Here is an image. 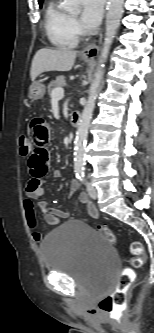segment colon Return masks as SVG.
Instances as JSON below:
<instances>
[{
    "label": "colon",
    "mask_w": 154,
    "mask_h": 333,
    "mask_svg": "<svg viewBox=\"0 0 154 333\" xmlns=\"http://www.w3.org/2000/svg\"><path fill=\"white\" fill-rule=\"evenodd\" d=\"M20 154L27 156L31 153V143L27 134H22L19 138ZM98 232L107 238L110 242L115 241V236L111 229L105 225L98 226ZM133 258L131 264L135 268L143 266L145 263L144 249L140 242H133L130 246ZM134 272L131 269H125L118 280L116 289L102 297L98 302L99 309L112 316H120L125 308L126 294L133 281Z\"/></svg>",
    "instance_id": "5ec220e1"
}]
</instances>
